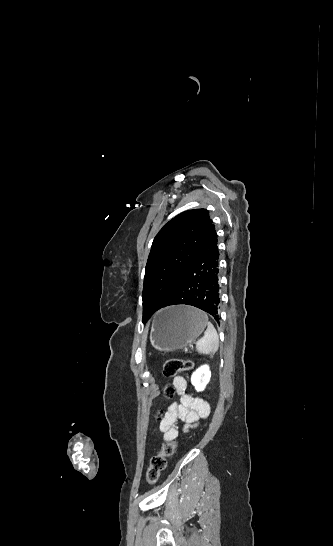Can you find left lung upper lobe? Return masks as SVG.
I'll return each instance as SVG.
<instances>
[{
    "label": "left lung upper lobe",
    "instance_id": "left-lung-upper-lobe-1",
    "mask_svg": "<svg viewBox=\"0 0 333 546\" xmlns=\"http://www.w3.org/2000/svg\"><path fill=\"white\" fill-rule=\"evenodd\" d=\"M212 225L208 210H187L166 223L156 235L145 267L143 322L168 301L176 281L195 259ZM203 267L201 262L196 271L200 273ZM153 295L159 296V300L154 301Z\"/></svg>",
    "mask_w": 333,
    "mask_h": 546
}]
</instances>
